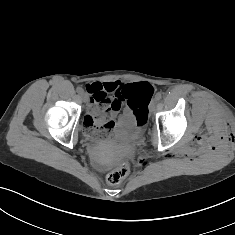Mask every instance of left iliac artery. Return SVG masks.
<instances>
[{"label": "left iliac artery", "instance_id": "obj_1", "mask_svg": "<svg viewBox=\"0 0 235 235\" xmlns=\"http://www.w3.org/2000/svg\"><path fill=\"white\" fill-rule=\"evenodd\" d=\"M162 98V94L160 92H158L156 95H155V99L156 100H160Z\"/></svg>", "mask_w": 235, "mask_h": 235}]
</instances>
